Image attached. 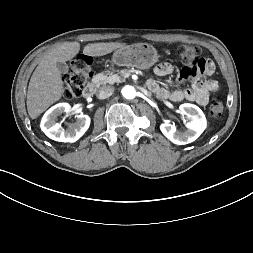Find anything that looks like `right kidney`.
I'll return each mask as SVG.
<instances>
[{"label": "right kidney", "mask_w": 253, "mask_h": 253, "mask_svg": "<svg viewBox=\"0 0 253 253\" xmlns=\"http://www.w3.org/2000/svg\"><path fill=\"white\" fill-rule=\"evenodd\" d=\"M71 111L72 108L68 103H59L51 107L42 118V131L55 141L70 143L77 141L89 128L90 117L80 114L77 116L75 123L69 125V127L64 130L61 128L60 124L56 122V119L63 112L70 114Z\"/></svg>", "instance_id": "ca27d5eb"}]
</instances>
